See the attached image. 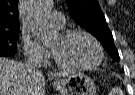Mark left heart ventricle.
<instances>
[{"instance_id":"obj_1","label":"left heart ventricle","mask_w":135,"mask_h":95,"mask_svg":"<svg viewBox=\"0 0 135 95\" xmlns=\"http://www.w3.org/2000/svg\"><path fill=\"white\" fill-rule=\"evenodd\" d=\"M51 49L56 57L65 64H92L98 58L96 46L84 35H75L68 39H64L60 35L51 43Z\"/></svg>"}]
</instances>
